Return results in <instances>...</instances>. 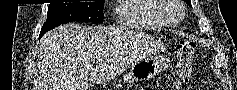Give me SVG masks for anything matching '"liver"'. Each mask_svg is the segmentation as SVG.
<instances>
[{
	"label": "liver",
	"instance_id": "obj_1",
	"mask_svg": "<svg viewBox=\"0 0 237 90\" xmlns=\"http://www.w3.org/2000/svg\"><path fill=\"white\" fill-rule=\"evenodd\" d=\"M116 28L66 24L42 38L39 64L44 90H88L112 78L118 66Z\"/></svg>",
	"mask_w": 237,
	"mask_h": 90
}]
</instances>
